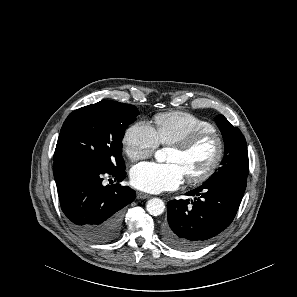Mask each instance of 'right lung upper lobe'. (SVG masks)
Here are the masks:
<instances>
[{
  "instance_id": "obj_1",
  "label": "right lung upper lobe",
  "mask_w": 297,
  "mask_h": 297,
  "mask_svg": "<svg viewBox=\"0 0 297 297\" xmlns=\"http://www.w3.org/2000/svg\"><path fill=\"white\" fill-rule=\"evenodd\" d=\"M107 100H103V101H100V102H106Z\"/></svg>"
}]
</instances>
